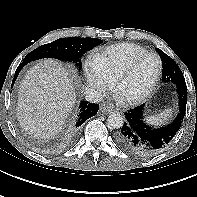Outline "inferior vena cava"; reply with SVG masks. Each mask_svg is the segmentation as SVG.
I'll use <instances>...</instances> for the list:
<instances>
[{
	"label": "inferior vena cava",
	"instance_id": "1",
	"mask_svg": "<svg viewBox=\"0 0 197 197\" xmlns=\"http://www.w3.org/2000/svg\"><path fill=\"white\" fill-rule=\"evenodd\" d=\"M84 94H85L86 101L90 103H99L103 98L102 93L93 88H87Z\"/></svg>",
	"mask_w": 197,
	"mask_h": 197
}]
</instances>
